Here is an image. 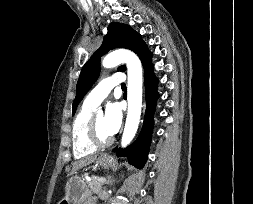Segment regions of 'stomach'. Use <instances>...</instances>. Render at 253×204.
<instances>
[{"label": "stomach", "mask_w": 253, "mask_h": 204, "mask_svg": "<svg viewBox=\"0 0 253 204\" xmlns=\"http://www.w3.org/2000/svg\"><path fill=\"white\" fill-rule=\"evenodd\" d=\"M97 163L102 167H109L113 164V158L102 154L97 159ZM65 192V197L58 204H85L86 200L91 197L87 182L79 175H73L67 180Z\"/></svg>", "instance_id": "0dacf381"}]
</instances>
